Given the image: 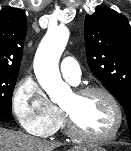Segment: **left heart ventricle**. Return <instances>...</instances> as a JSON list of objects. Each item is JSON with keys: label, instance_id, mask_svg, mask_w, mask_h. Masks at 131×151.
Segmentation results:
<instances>
[{"label": "left heart ventricle", "instance_id": "b2bd125f", "mask_svg": "<svg viewBox=\"0 0 131 151\" xmlns=\"http://www.w3.org/2000/svg\"><path fill=\"white\" fill-rule=\"evenodd\" d=\"M77 126L92 135L109 134L115 127L117 116L110 101L101 94L78 97L71 93L62 103Z\"/></svg>", "mask_w": 131, "mask_h": 151}]
</instances>
